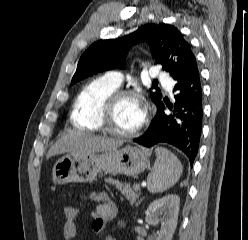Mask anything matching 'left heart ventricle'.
I'll list each match as a JSON object with an SVG mask.
<instances>
[{"instance_id": "left-heart-ventricle-1", "label": "left heart ventricle", "mask_w": 248, "mask_h": 240, "mask_svg": "<svg viewBox=\"0 0 248 240\" xmlns=\"http://www.w3.org/2000/svg\"><path fill=\"white\" fill-rule=\"evenodd\" d=\"M137 107V98L120 99L111 112L112 126L123 132L134 130L138 126L136 123Z\"/></svg>"}]
</instances>
